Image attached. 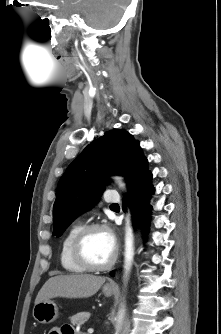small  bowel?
<instances>
[{"label": "small bowel", "mask_w": 221, "mask_h": 334, "mask_svg": "<svg viewBox=\"0 0 221 334\" xmlns=\"http://www.w3.org/2000/svg\"><path fill=\"white\" fill-rule=\"evenodd\" d=\"M49 334H76V333L71 328L54 327L50 330Z\"/></svg>", "instance_id": "obj_1"}]
</instances>
